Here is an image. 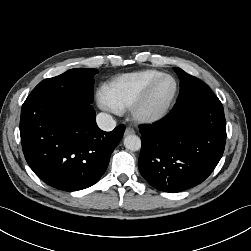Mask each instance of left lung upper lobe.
Here are the masks:
<instances>
[{
  "label": "left lung upper lobe",
  "mask_w": 251,
  "mask_h": 251,
  "mask_svg": "<svg viewBox=\"0 0 251 251\" xmlns=\"http://www.w3.org/2000/svg\"><path fill=\"white\" fill-rule=\"evenodd\" d=\"M174 70L180 79V93L187 91L188 89L192 88L194 85L205 84L198 78L187 74L185 71H183L180 68L175 67Z\"/></svg>",
  "instance_id": "left-lung-upper-lobe-1"
}]
</instances>
